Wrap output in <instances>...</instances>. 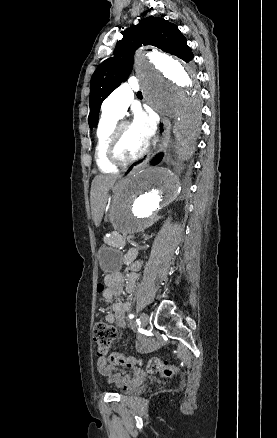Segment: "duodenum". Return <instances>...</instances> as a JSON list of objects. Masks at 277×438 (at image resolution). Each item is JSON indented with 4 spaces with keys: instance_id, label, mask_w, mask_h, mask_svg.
Wrapping results in <instances>:
<instances>
[{
    "instance_id": "obj_1",
    "label": "duodenum",
    "mask_w": 277,
    "mask_h": 438,
    "mask_svg": "<svg viewBox=\"0 0 277 438\" xmlns=\"http://www.w3.org/2000/svg\"><path fill=\"white\" fill-rule=\"evenodd\" d=\"M134 260V255L131 252L126 253L123 256V263L130 264Z\"/></svg>"
}]
</instances>
